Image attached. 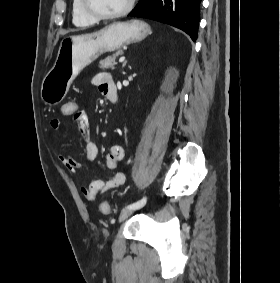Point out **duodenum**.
I'll return each mask as SVG.
<instances>
[{"label": "duodenum", "instance_id": "duodenum-1", "mask_svg": "<svg viewBox=\"0 0 280 283\" xmlns=\"http://www.w3.org/2000/svg\"><path fill=\"white\" fill-rule=\"evenodd\" d=\"M107 97L113 103H115L117 101V98H118L117 89H116V85L113 81L109 83Z\"/></svg>", "mask_w": 280, "mask_h": 283}]
</instances>
